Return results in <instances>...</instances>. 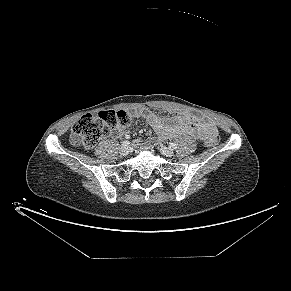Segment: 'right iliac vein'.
Returning <instances> with one entry per match:
<instances>
[{
	"instance_id": "1",
	"label": "right iliac vein",
	"mask_w": 291,
	"mask_h": 291,
	"mask_svg": "<svg viewBox=\"0 0 291 291\" xmlns=\"http://www.w3.org/2000/svg\"><path fill=\"white\" fill-rule=\"evenodd\" d=\"M120 155L126 156L129 154V148L128 147H121L119 150Z\"/></svg>"
}]
</instances>
